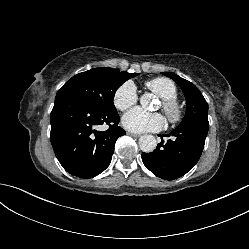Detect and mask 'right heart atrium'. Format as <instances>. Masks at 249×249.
<instances>
[{"label":"right heart atrium","mask_w":249,"mask_h":249,"mask_svg":"<svg viewBox=\"0 0 249 249\" xmlns=\"http://www.w3.org/2000/svg\"><path fill=\"white\" fill-rule=\"evenodd\" d=\"M138 99L135 85L130 82H124L114 92L113 104L119 111H126L132 107Z\"/></svg>","instance_id":"obj_1"}]
</instances>
